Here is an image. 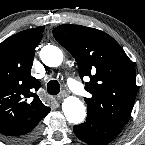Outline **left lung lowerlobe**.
<instances>
[{"instance_id":"left-lung-lower-lobe-1","label":"left lung lower lobe","mask_w":145,"mask_h":145,"mask_svg":"<svg viewBox=\"0 0 145 145\" xmlns=\"http://www.w3.org/2000/svg\"><path fill=\"white\" fill-rule=\"evenodd\" d=\"M75 135L91 145H105L114 140L122 130V127L107 124L94 117L87 116L86 121L75 125Z\"/></svg>"}]
</instances>
